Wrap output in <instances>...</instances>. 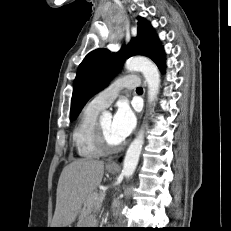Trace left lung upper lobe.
Wrapping results in <instances>:
<instances>
[{
    "mask_svg": "<svg viewBox=\"0 0 231 231\" xmlns=\"http://www.w3.org/2000/svg\"><path fill=\"white\" fill-rule=\"evenodd\" d=\"M137 19L138 34L128 46L122 47L118 53L96 49L87 54L79 65L73 84L71 120L76 119L89 98L107 86L125 59L134 55L151 59L161 47L150 23L142 17Z\"/></svg>",
    "mask_w": 231,
    "mask_h": 231,
    "instance_id": "5c2ea615",
    "label": "left lung upper lobe"
}]
</instances>
